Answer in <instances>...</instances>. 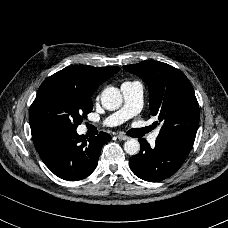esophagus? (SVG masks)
<instances>
[{"label": "esophagus", "instance_id": "obj_1", "mask_svg": "<svg viewBox=\"0 0 228 228\" xmlns=\"http://www.w3.org/2000/svg\"><path fill=\"white\" fill-rule=\"evenodd\" d=\"M117 138H118L119 140H123V141H125V140L128 139V137H127L126 135H124L123 133H118V134H117Z\"/></svg>", "mask_w": 228, "mask_h": 228}]
</instances>
